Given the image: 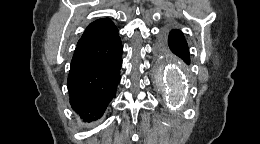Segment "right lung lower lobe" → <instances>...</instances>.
<instances>
[{
  "instance_id": "98d812e1",
  "label": "right lung lower lobe",
  "mask_w": 260,
  "mask_h": 144,
  "mask_svg": "<svg viewBox=\"0 0 260 144\" xmlns=\"http://www.w3.org/2000/svg\"><path fill=\"white\" fill-rule=\"evenodd\" d=\"M121 65L118 34L76 47L67 84L71 106L85 122L99 119L116 96Z\"/></svg>"
}]
</instances>
